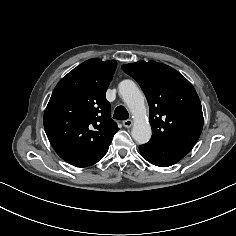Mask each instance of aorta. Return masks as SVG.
Segmentation results:
<instances>
[{
	"label": "aorta",
	"instance_id": "obj_1",
	"mask_svg": "<svg viewBox=\"0 0 236 236\" xmlns=\"http://www.w3.org/2000/svg\"><path fill=\"white\" fill-rule=\"evenodd\" d=\"M118 92L134 118L131 130L132 138L139 144L147 143L151 138L152 131L150 124L146 121L147 109L142 92L132 80L120 82Z\"/></svg>",
	"mask_w": 236,
	"mask_h": 236
}]
</instances>
